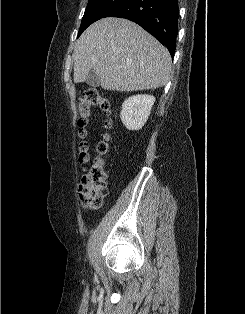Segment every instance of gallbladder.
<instances>
[{
    "instance_id": "obj_1",
    "label": "gallbladder",
    "mask_w": 245,
    "mask_h": 314,
    "mask_svg": "<svg viewBox=\"0 0 245 314\" xmlns=\"http://www.w3.org/2000/svg\"><path fill=\"white\" fill-rule=\"evenodd\" d=\"M86 83L89 86L98 87L100 84L99 76L93 70H91L87 76Z\"/></svg>"
}]
</instances>
